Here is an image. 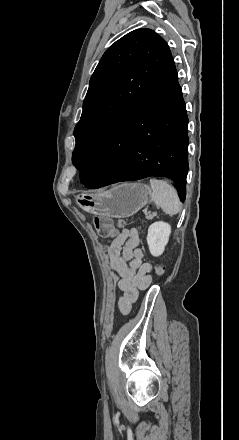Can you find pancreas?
<instances>
[{"instance_id": "obj_1", "label": "pancreas", "mask_w": 239, "mask_h": 440, "mask_svg": "<svg viewBox=\"0 0 239 440\" xmlns=\"http://www.w3.org/2000/svg\"><path fill=\"white\" fill-rule=\"evenodd\" d=\"M144 214H145L147 220H152V218H154V216H155V212H147V210H144Z\"/></svg>"}]
</instances>
